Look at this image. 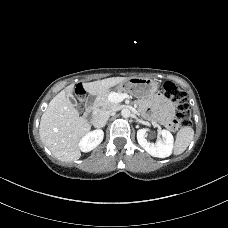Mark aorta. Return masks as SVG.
<instances>
[{
    "label": "aorta",
    "mask_w": 228,
    "mask_h": 228,
    "mask_svg": "<svg viewBox=\"0 0 228 228\" xmlns=\"http://www.w3.org/2000/svg\"><path fill=\"white\" fill-rule=\"evenodd\" d=\"M121 115L124 117V118H128L130 115H131V112L129 109L127 108H123L121 110Z\"/></svg>",
    "instance_id": "762f6f07"
}]
</instances>
